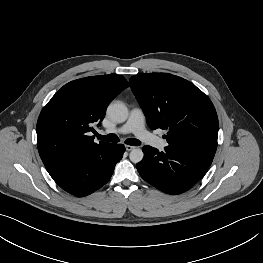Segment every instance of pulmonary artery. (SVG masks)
<instances>
[{
  "label": "pulmonary artery",
  "instance_id": "e3ab8cb5",
  "mask_svg": "<svg viewBox=\"0 0 263 263\" xmlns=\"http://www.w3.org/2000/svg\"><path fill=\"white\" fill-rule=\"evenodd\" d=\"M110 133H133L140 141L146 142L158 149H163L166 142L145 129V117L140 108L130 111L128 120L119 128L108 130Z\"/></svg>",
  "mask_w": 263,
  "mask_h": 263
}]
</instances>
